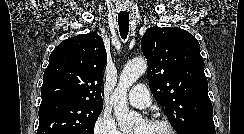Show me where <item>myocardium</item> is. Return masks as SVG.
Instances as JSON below:
<instances>
[{
  "label": "myocardium",
  "mask_w": 244,
  "mask_h": 134,
  "mask_svg": "<svg viewBox=\"0 0 244 134\" xmlns=\"http://www.w3.org/2000/svg\"><path fill=\"white\" fill-rule=\"evenodd\" d=\"M145 123L149 124V125H161V126H164L165 128H167L168 131L170 132V134H178L175 127L167 120L159 119V118H152V119L146 120Z\"/></svg>",
  "instance_id": "1"
}]
</instances>
